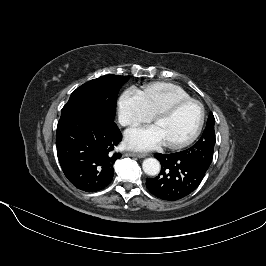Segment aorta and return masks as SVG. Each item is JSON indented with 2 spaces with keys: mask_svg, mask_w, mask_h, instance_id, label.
I'll return each instance as SVG.
<instances>
[{
  "mask_svg": "<svg viewBox=\"0 0 266 266\" xmlns=\"http://www.w3.org/2000/svg\"><path fill=\"white\" fill-rule=\"evenodd\" d=\"M143 171L150 176H155L160 172V163L155 158H147L142 163Z\"/></svg>",
  "mask_w": 266,
  "mask_h": 266,
  "instance_id": "1",
  "label": "aorta"
}]
</instances>
